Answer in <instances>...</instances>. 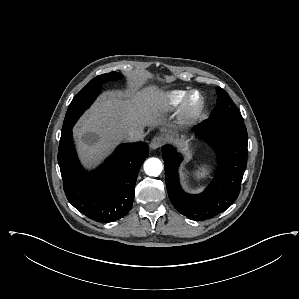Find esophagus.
I'll return each mask as SVG.
<instances>
[{
	"instance_id": "34e87169",
	"label": "esophagus",
	"mask_w": 299,
	"mask_h": 299,
	"mask_svg": "<svg viewBox=\"0 0 299 299\" xmlns=\"http://www.w3.org/2000/svg\"><path fill=\"white\" fill-rule=\"evenodd\" d=\"M164 139L160 136L154 137L150 143V147L153 150H156L162 146Z\"/></svg>"
}]
</instances>
